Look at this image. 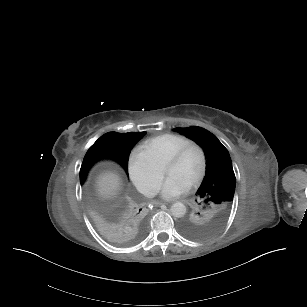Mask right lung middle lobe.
<instances>
[{"label":"right lung middle lobe","mask_w":307,"mask_h":307,"mask_svg":"<svg viewBox=\"0 0 307 307\" xmlns=\"http://www.w3.org/2000/svg\"><path fill=\"white\" fill-rule=\"evenodd\" d=\"M110 158L119 162L125 169H128V156L118 147H114L103 140H97L87 151L81 169L80 182H84L90 167L98 160Z\"/></svg>","instance_id":"dd1d6c3e"}]
</instances>
